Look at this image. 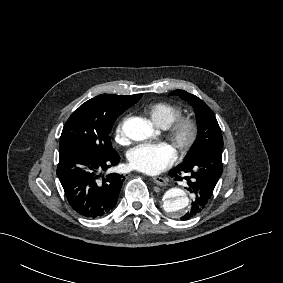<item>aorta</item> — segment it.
I'll return each mask as SVG.
<instances>
[{
  "mask_svg": "<svg viewBox=\"0 0 283 283\" xmlns=\"http://www.w3.org/2000/svg\"><path fill=\"white\" fill-rule=\"evenodd\" d=\"M122 130L128 138L135 141L148 139L154 133L152 123L139 117L127 119L123 124ZM189 207L190 199L188 192L184 189L174 187L164 193L163 209L170 216L179 218L189 210Z\"/></svg>",
  "mask_w": 283,
  "mask_h": 283,
  "instance_id": "1",
  "label": "aorta"
}]
</instances>
